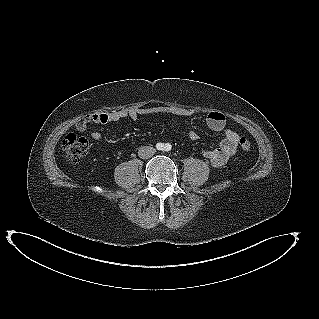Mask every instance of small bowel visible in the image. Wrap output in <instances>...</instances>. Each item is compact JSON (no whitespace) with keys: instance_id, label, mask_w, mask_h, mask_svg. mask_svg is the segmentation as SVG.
Wrapping results in <instances>:
<instances>
[{"instance_id":"1","label":"small bowel","mask_w":319,"mask_h":319,"mask_svg":"<svg viewBox=\"0 0 319 319\" xmlns=\"http://www.w3.org/2000/svg\"><path fill=\"white\" fill-rule=\"evenodd\" d=\"M150 114L179 116L185 119L187 125V119L191 117L192 112L187 109L172 106H152L134 109H122L89 115L76 124V129L78 131H85L90 124H110L124 119L137 120L140 116ZM205 121L211 130L215 132H221L223 135L222 141L217 148L203 150V156L210 162V164L213 167H220L234 155L238 145L239 135L234 130L226 128V117L222 112H209ZM186 134L188 139L191 141H196L199 138L197 132L189 127H187ZM91 137L95 142H99L102 138V135L99 131H93L91 133Z\"/></svg>"}]
</instances>
